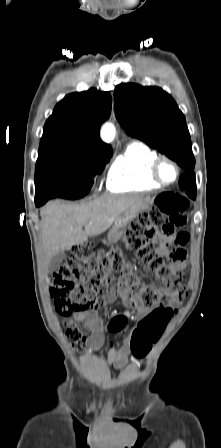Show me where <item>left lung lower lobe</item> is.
Here are the masks:
<instances>
[{
	"mask_svg": "<svg viewBox=\"0 0 221 448\" xmlns=\"http://www.w3.org/2000/svg\"><path fill=\"white\" fill-rule=\"evenodd\" d=\"M180 188L192 199L196 198V181L194 173H185L179 178Z\"/></svg>",
	"mask_w": 221,
	"mask_h": 448,
	"instance_id": "0a47b994",
	"label": "left lung lower lobe"
}]
</instances>
